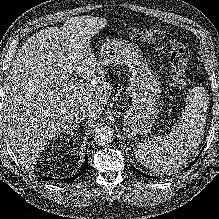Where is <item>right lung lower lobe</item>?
Segmentation results:
<instances>
[{
  "label": "right lung lower lobe",
  "mask_w": 219,
  "mask_h": 219,
  "mask_svg": "<svg viewBox=\"0 0 219 219\" xmlns=\"http://www.w3.org/2000/svg\"><path fill=\"white\" fill-rule=\"evenodd\" d=\"M88 168V158L87 156H85V161H84V165L82 167V169L79 171V173L73 177L67 178V179H63V181L65 182H72L75 178H77L78 176L82 175L85 170ZM42 179L44 180H52L53 178L51 177H43Z\"/></svg>",
  "instance_id": "1"
}]
</instances>
